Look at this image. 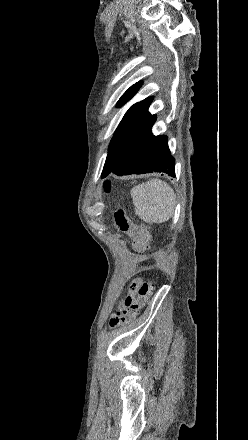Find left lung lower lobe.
Wrapping results in <instances>:
<instances>
[{"mask_svg":"<svg viewBox=\"0 0 248 440\" xmlns=\"http://www.w3.org/2000/svg\"><path fill=\"white\" fill-rule=\"evenodd\" d=\"M175 160L171 156L167 137L151 135L130 149L112 173L119 176L164 172L175 177Z\"/></svg>","mask_w":248,"mask_h":440,"instance_id":"left-lung-lower-lobe-1","label":"left lung lower lobe"}]
</instances>
